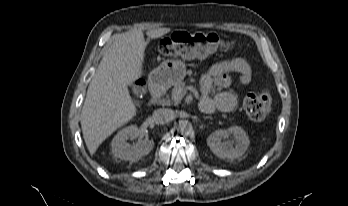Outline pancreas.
Returning <instances> with one entry per match:
<instances>
[{
    "instance_id": "obj_1",
    "label": "pancreas",
    "mask_w": 348,
    "mask_h": 206,
    "mask_svg": "<svg viewBox=\"0 0 348 206\" xmlns=\"http://www.w3.org/2000/svg\"><path fill=\"white\" fill-rule=\"evenodd\" d=\"M181 91L182 94H185V82H179L174 85V88L171 91V96L170 98L167 99L166 104H171V103H177L178 101H175L173 96L176 92ZM223 117H226V115H223Z\"/></svg>"
}]
</instances>
